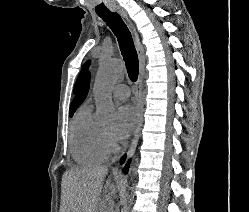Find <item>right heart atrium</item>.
I'll use <instances>...</instances> for the list:
<instances>
[{"instance_id":"right-heart-atrium-1","label":"right heart atrium","mask_w":249,"mask_h":212,"mask_svg":"<svg viewBox=\"0 0 249 212\" xmlns=\"http://www.w3.org/2000/svg\"><path fill=\"white\" fill-rule=\"evenodd\" d=\"M101 141H102V146L104 148L106 156H110L113 152V146H112L109 136L107 134H102Z\"/></svg>"}]
</instances>
